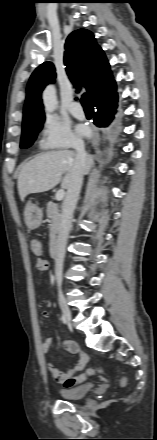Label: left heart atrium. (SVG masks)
I'll use <instances>...</instances> for the list:
<instances>
[{
  "label": "left heart atrium",
  "instance_id": "obj_1",
  "mask_svg": "<svg viewBox=\"0 0 157 440\" xmlns=\"http://www.w3.org/2000/svg\"><path fill=\"white\" fill-rule=\"evenodd\" d=\"M75 129H76L77 133L83 137H87L91 133L90 127L85 123H78L75 126Z\"/></svg>",
  "mask_w": 157,
  "mask_h": 440
}]
</instances>
